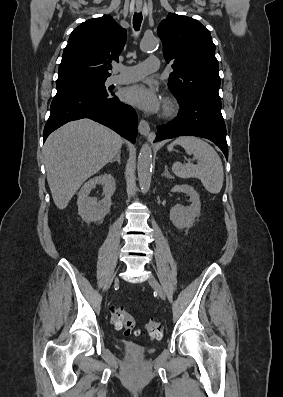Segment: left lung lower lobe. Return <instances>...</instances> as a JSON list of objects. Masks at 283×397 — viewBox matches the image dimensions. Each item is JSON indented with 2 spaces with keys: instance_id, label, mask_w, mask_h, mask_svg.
<instances>
[{
  "instance_id": "0a47b994",
  "label": "left lung lower lobe",
  "mask_w": 283,
  "mask_h": 397,
  "mask_svg": "<svg viewBox=\"0 0 283 397\" xmlns=\"http://www.w3.org/2000/svg\"><path fill=\"white\" fill-rule=\"evenodd\" d=\"M181 104L178 117L157 127L155 141L178 136H198L211 140L228 159L226 126L221 114V105L201 99H192Z\"/></svg>"
}]
</instances>
